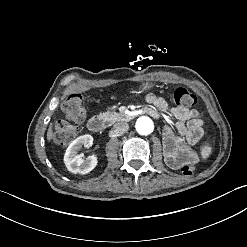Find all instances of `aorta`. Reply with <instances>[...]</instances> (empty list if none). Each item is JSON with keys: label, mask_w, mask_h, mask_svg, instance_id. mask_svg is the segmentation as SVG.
I'll return each instance as SVG.
<instances>
[{"label": "aorta", "mask_w": 247, "mask_h": 247, "mask_svg": "<svg viewBox=\"0 0 247 247\" xmlns=\"http://www.w3.org/2000/svg\"><path fill=\"white\" fill-rule=\"evenodd\" d=\"M136 130L141 135H149L154 130V123L149 117L142 116L136 122Z\"/></svg>", "instance_id": "obj_1"}]
</instances>
